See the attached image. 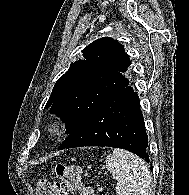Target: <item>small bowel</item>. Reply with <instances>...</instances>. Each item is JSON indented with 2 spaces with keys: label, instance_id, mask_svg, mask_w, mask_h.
Masks as SVG:
<instances>
[{
  "label": "small bowel",
  "instance_id": "small-bowel-1",
  "mask_svg": "<svg viewBox=\"0 0 189 195\" xmlns=\"http://www.w3.org/2000/svg\"><path fill=\"white\" fill-rule=\"evenodd\" d=\"M95 189L90 186L83 187V194L82 195H96Z\"/></svg>",
  "mask_w": 189,
  "mask_h": 195
}]
</instances>
